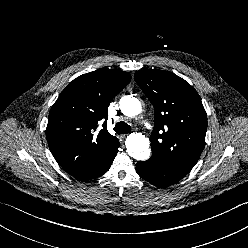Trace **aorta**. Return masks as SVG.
Instances as JSON below:
<instances>
[{"label": "aorta", "instance_id": "762f6f07", "mask_svg": "<svg viewBox=\"0 0 248 248\" xmlns=\"http://www.w3.org/2000/svg\"><path fill=\"white\" fill-rule=\"evenodd\" d=\"M121 112L134 117L141 113L142 107L140 101L131 96H124L119 101ZM128 154L137 160H146L150 156L149 139L140 133H132L126 139Z\"/></svg>", "mask_w": 248, "mask_h": 248}]
</instances>
